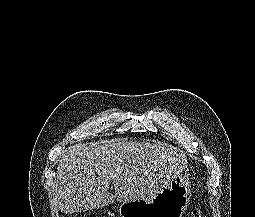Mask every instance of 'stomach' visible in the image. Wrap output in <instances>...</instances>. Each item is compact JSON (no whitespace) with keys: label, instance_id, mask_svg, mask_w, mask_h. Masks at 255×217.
Listing matches in <instances>:
<instances>
[{"label":"stomach","instance_id":"obj_1","mask_svg":"<svg viewBox=\"0 0 255 217\" xmlns=\"http://www.w3.org/2000/svg\"><path fill=\"white\" fill-rule=\"evenodd\" d=\"M190 186L188 175L181 174L150 198L123 202L120 217H182L189 204Z\"/></svg>","mask_w":255,"mask_h":217}]
</instances>
